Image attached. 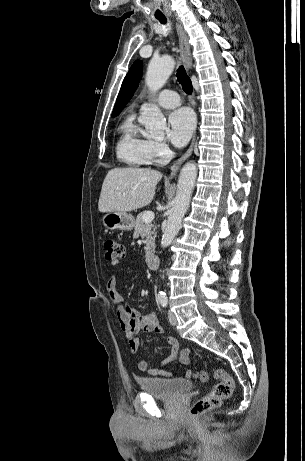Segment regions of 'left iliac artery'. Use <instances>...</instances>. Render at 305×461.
<instances>
[{
    "label": "left iliac artery",
    "mask_w": 305,
    "mask_h": 461,
    "mask_svg": "<svg viewBox=\"0 0 305 461\" xmlns=\"http://www.w3.org/2000/svg\"><path fill=\"white\" fill-rule=\"evenodd\" d=\"M158 300H159L160 304H161L163 307H166V306H167L168 299H167L166 294H160V295H158Z\"/></svg>",
    "instance_id": "44dca946"
}]
</instances>
